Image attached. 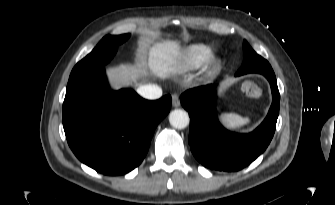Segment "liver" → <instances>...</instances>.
<instances>
[{
    "label": "liver",
    "mask_w": 335,
    "mask_h": 205,
    "mask_svg": "<svg viewBox=\"0 0 335 205\" xmlns=\"http://www.w3.org/2000/svg\"><path fill=\"white\" fill-rule=\"evenodd\" d=\"M180 56V45L175 40L151 42L144 45L140 63L146 64L150 73L165 79L177 70V58ZM141 71L136 67L118 66L108 69V74L113 82V88L118 89L122 85L138 84L141 79Z\"/></svg>",
    "instance_id": "obj_1"
}]
</instances>
